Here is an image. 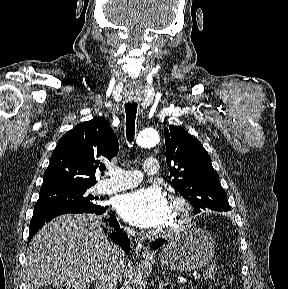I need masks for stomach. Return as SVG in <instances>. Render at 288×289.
I'll return each instance as SVG.
<instances>
[{"instance_id":"stomach-1","label":"stomach","mask_w":288,"mask_h":289,"mask_svg":"<svg viewBox=\"0 0 288 289\" xmlns=\"http://www.w3.org/2000/svg\"><path fill=\"white\" fill-rule=\"evenodd\" d=\"M214 252L212 236L201 228H193L175 236L161 252L159 262L167 270H197L211 261Z\"/></svg>"}]
</instances>
